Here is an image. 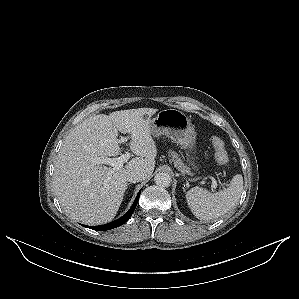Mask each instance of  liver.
<instances>
[{"label": "liver", "instance_id": "1", "mask_svg": "<svg viewBox=\"0 0 299 299\" xmlns=\"http://www.w3.org/2000/svg\"><path fill=\"white\" fill-rule=\"evenodd\" d=\"M156 112L153 108H138L115 111L109 116L98 114L69 132L53 174L54 192L68 216L88 225L112 221L128 187V173L136 168L145 170L146 178L153 173L157 148L150 122ZM118 132L130 134V150L137 157L113 170L96 160L119 155Z\"/></svg>", "mask_w": 299, "mask_h": 299}]
</instances>
